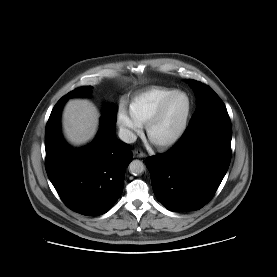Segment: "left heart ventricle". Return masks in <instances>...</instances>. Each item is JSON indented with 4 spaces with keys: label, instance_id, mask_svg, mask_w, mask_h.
<instances>
[{
    "label": "left heart ventricle",
    "instance_id": "b2bd125f",
    "mask_svg": "<svg viewBox=\"0 0 277 277\" xmlns=\"http://www.w3.org/2000/svg\"><path fill=\"white\" fill-rule=\"evenodd\" d=\"M187 107L188 101L184 95L175 96L152 128L151 138L154 141H163L173 136L184 120Z\"/></svg>",
    "mask_w": 277,
    "mask_h": 277
}]
</instances>
